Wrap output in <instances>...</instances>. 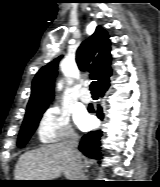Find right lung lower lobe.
<instances>
[{
  "mask_svg": "<svg viewBox=\"0 0 160 187\" xmlns=\"http://www.w3.org/2000/svg\"><path fill=\"white\" fill-rule=\"evenodd\" d=\"M109 85H110L109 84V77L102 80L98 84V92L101 97L104 95V92L108 89ZM88 110L90 113L96 112L97 117L100 120L103 119L104 116H103L102 108L100 106H98V109L96 111H94L92 106H89ZM101 136H102L101 130L91 131L88 134H85L82 137V140L80 142L79 150L82 153H84V155L87 157L100 160L102 158L101 144H100ZM77 186L88 187V185L86 183L77 184Z\"/></svg>",
  "mask_w": 160,
  "mask_h": 187,
  "instance_id": "right-lung-lower-lobe-1",
  "label": "right lung lower lobe"
}]
</instances>
